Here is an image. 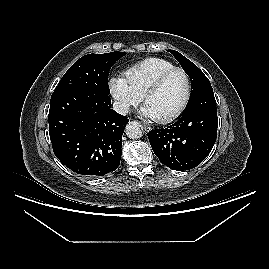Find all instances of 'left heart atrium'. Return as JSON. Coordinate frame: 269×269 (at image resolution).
I'll list each match as a JSON object with an SVG mask.
<instances>
[{"instance_id": "1", "label": "left heart atrium", "mask_w": 269, "mask_h": 269, "mask_svg": "<svg viewBox=\"0 0 269 269\" xmlns=\"http://www.w3.org/2000/svg\"><path fill=\"white\" fill-rule=\"evenodd\" d=\"M141 114L146 118H154L151 112L148 110L146 106H143L141 108Z\"/></svg>"}]
</instances>
